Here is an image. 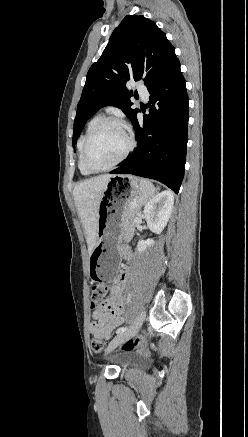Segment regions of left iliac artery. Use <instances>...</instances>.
Returning a JSON list of instances; mask_svg holds the SVG:
<instances>
[{"instance_id": "1", "label": "left iliac artery", "mask_w": 248, "mask_h": 437, "mask_svg": "<svg viewBox=\"0 0 248 437\" xmlns=\"http://www.w3.org/2000/svg\"><path fill=\"white\" fill-rule=\"evenodd\" d=\"M130 298H131V294L128 295L127 303H129ZM126 330H127V327H120V328L117 329L116 333H117V334H120V333L125 332Z\"/></svg>"}]
</instances>
